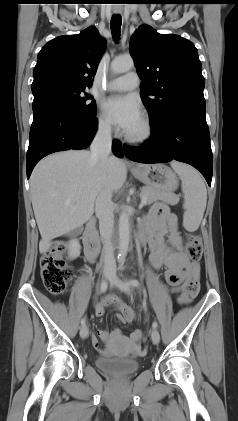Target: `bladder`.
<instances>
[{
	"label": "bladder",
	"mask_w": 238,
	"mask_h": 421,
	"mask_svg": "<svg viewBox=\"0 0 238 421\" xmlns=\"http://www.w3.org/2000/svg\"><path fill=\"white\" fill-rule=\"evenodd\" d=\"M96 366L103 372L124 377L135 373L140 364L135 359L119 357H99L96 360Z\"/></svg>",
	"instance_id": "31cf9c89"
}]
</instances>
